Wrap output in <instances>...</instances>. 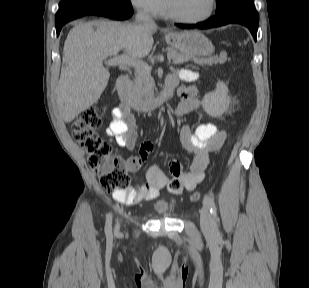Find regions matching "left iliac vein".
<instances>
[{
	"label": "left iliac vein",
	"instance_id": "left-iliac-vein-1",
	"mask_svg": "<svg viewBox=\"0 0 309 288\" xmlns=\"http://www.w3.org/2000/svg\"><path fill=\"white\" fill-rule=\"evenodd\" d=\"M200 225L201 229L207 235L213 233V222L210 215L209 207L204 205L200 211Z\"/></svg>",
	"mask_w": 309,
	"mask_h": 288
}]
</instances>
